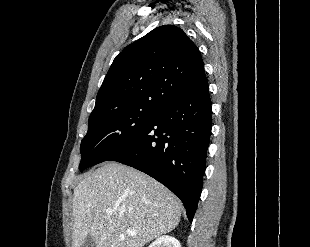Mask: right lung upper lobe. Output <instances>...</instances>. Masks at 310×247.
Returning <instances> with one entry per match:
<instances>
[{"label":"right lung upper lobe","mask_w":310,"mask_h":247,"mask_svg":"<svg viewBox=\"0 0 310 247\" xmlns=\"http://www.w3.org/2000/svg\"><path fill=\"white\" fill-rule=\"evenodd\" d=\"M207 82L197 46L182 29L163 25L114 59L90 118L126 108L158 110Z\"/></svg>","instance_id":"1"}]
</instances>
